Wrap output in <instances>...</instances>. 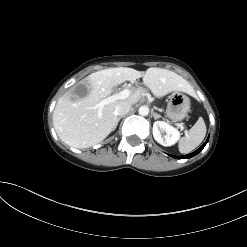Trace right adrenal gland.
<instances>
[{"mask_svg": "<svg viewBox=\"0 0 247 247\" xmlns=\"http://www.w3.org/2000/svg\"><path fill=\"white\" fill-rule=\"evenodd\" d=\"M121 118H123V116H119V117L117 118V124H118V122L121 120Z\"/></svg>", "mask_w": 247, "mask_h": 247, "instance_id": "obj_1", "label": "right adrenal gland"}]
</instances>
